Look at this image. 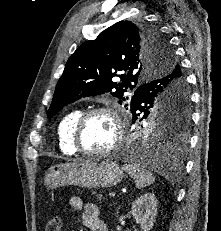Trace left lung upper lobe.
I'll return each mask as SVG.
<instances>
[{
    "mask_svg": "<svg viewBox=\"0 0 221 231\" xmlns=\"http://www.w3.org/2000/svg\"><path fill=\"white\" fill-rule=\"evenodd\" d=\"M173 60L167 39L156 27L119 21L100 33L95 40L83 43L70 56L57 83L48 116H54L64 106L81 97L111 92L112 89L116 90L112 95L118 97V103L122 104V100H126L123 98L124 92L128 88H135L142 77L160 78L176 69L180 71V65ZM152 65L155 68L152 69ZM114 76L121 81H112ZM172 93L155 95L139 105L131 100L133 119L139 117L141 121L154 117L157 126L153 134L159 137L164 136L166 131L171 133L172 138L186 136L189 95L180 86ZM173 95L174 98L179 96L187 99L186 104L180 108L174 107L170 100Z\"/></svg>",
    "mask_w": 221,
    "mask_h": 231,
    "instance_id": "5c2ea615",
    "label": "left lung upper lobe"
}]
</instances>
